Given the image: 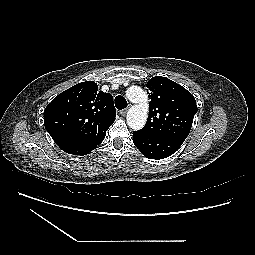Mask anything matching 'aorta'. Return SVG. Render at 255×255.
I'll return each mask as SVG.
<instances>
[{
    "mask_svg": "<svg viewBox=\"0 0 255 255\" xmlns=\"http://www.w3.org/2000/svg\"><path fill=\"white\" fill-rule=\"evenodd\" d=\"M127 98L134 103L127 112V124L133 130L143 128L148 117V97L139 86H131L126 91Z\"/></svg>",
    "mask_w": 255,
    "mask_h": 255,
    "instance_id": "aorta-1",
    "label": "aorta"
}]
</instances>
